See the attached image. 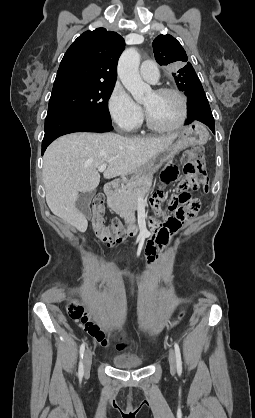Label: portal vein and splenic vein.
Segmentation results:
<instances>
[{"label":"portal vein and splenic vein","mask_w":255,"mask_h":418,"mask_svg":"<svg viewBox=\"0 0 255 418\" xmlns=\"http://www.w3.org/2000/svg\"><path fill=\"white\" fill-rule=\"evenodd\" d=\"M107 164H102L101 166L98 167V171L99 172H104L106 170Z\"/></svg>","instance_id":"1"}]
</instances>
